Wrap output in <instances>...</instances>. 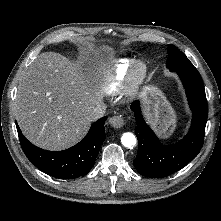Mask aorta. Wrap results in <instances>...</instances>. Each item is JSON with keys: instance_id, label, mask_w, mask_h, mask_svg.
Masks as SVG:
<instances>
[{"instance_id": "obj_1", "label": "aorta", "mask_w": 221, "mask_h": 221, "mask_svg": "<svg viewBox=\"0 0 221 221\" xmlns=\"http://www.w3.org/2000/svg\"><path fill=\"white\" fill-rule=\"evenodd\" d=\"M122 144L127 148H133L136 145V137L133 133L126 132L123 133L121 137Z\"/></svg>"}]
</instances>
